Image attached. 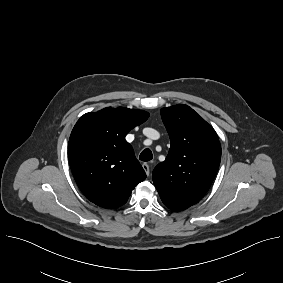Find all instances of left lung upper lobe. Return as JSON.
<instances>
[{"label":"left lung upper lobe","mask_w":283,"mask_h":283,"mask_svg":"<svg viewBox=\"0 0 283 283\" xmlns=\"http://www.w3.org/2000/svg\"><path fill=\"white\" fill-rule=\"evenodd\" d=\"M171 147L152 179L169 209L184 210L196 204L210 188L221 160L215 130L192 108L175 105L161 109Z\"/></svg>","instance_id":"1"}]
</instances>
